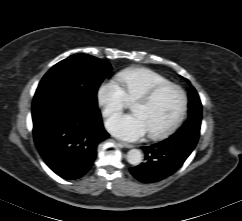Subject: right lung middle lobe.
I'll list each match as a JSON object with an SVG mask.
<instances>
[{
    "label": "right lung middle lobe",
    "instance_id": "1",
    "mask_svg": "<svg viewBox=\"0 0 242 221\" xmlns=\"http://www.w3.org/2000/svg\"><path fill=\"white\" fill-rule=\"evenodd\" d=\"M110 68L106 61L87 54H75L62 60L42 78L32 110L44 104L64 102L77 110L98 109L97 90Z\"/></svg>",
    "mask_w": 242,
    "mask_h": 221
}]
</instances>
